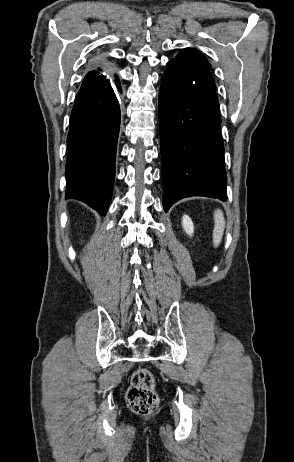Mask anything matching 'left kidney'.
I'll return each mask as SVG.
<instances>
[{
	"instance_id": "obj_1",
	"label": "left kidney",
	"mask_w": 294,
	"mask_h": 462,
	"mask_svg": "<svg viewBox=\"0 0 294 462\" xmlns=\"http://www.w3.org/2000/svg\"><path fill=\"white\" fill-rule=\"evenodd\" d=\"M182 226L184 231L189 235L192 236L194 232V225L191 218L187 215H184L182 218Z\"/></svg>"
}]
</instances>
